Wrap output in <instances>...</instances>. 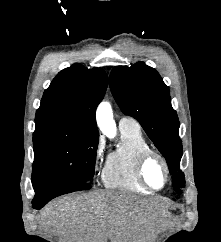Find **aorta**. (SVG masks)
I'll return each instance as SVG.
<instances>
[{
    "label": "aorta",
    "mask_w": 221,
    "mask_h": 242,
    "mask_svg": "<svg viewBox=\"0 0 221 242\" xmlns=\"http://www.w3.org/2000/svg\"><path fill=\"white\" fill-rule=\"evenodd\" d=\"M97 124L101 131L106 135H112L116 131L115 122L111 105L108 102H102L97 109Z\"/></svg>",
    "instance_id": "762f6f07"
}]
</instances>
